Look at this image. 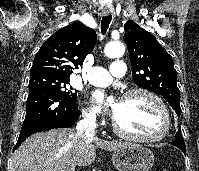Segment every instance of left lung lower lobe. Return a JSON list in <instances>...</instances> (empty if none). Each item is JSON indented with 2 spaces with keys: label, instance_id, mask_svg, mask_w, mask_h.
<instances>
[{
  "label": "left lung lower lobe",
  "instance_id": "0a47b994",
  "mask_svg": "<svg viewBox=\"0 0 199 171\" xmlns=\"http://www.w3.org/2000/svg\"><path fill=\"white\" fill-rule=\"evenodd\" d=\"M170 144L178 147L179 149H181L183 151V153L186 154V147H185V143L183 141V138H182V135H181V132L178 131L176 133V140L170 142Z\"/></svg>",
  "mask_w": 199,
  "mask_h": 171
}]
</instances>
